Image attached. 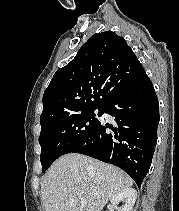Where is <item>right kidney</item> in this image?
<instances>
[{"mask_svg": "<svg viewBox=\"0 0 179 211\" xmlns=\"http://www.w3.org/2000/svg\"><path fill=\"white\" fill-rule=\"evenodd\" d=\"M137 198V192L133 188H126L122 191L116 193L111 198V203L116 209V211H132ZM123 202L122 208H118V204Z\"/></svg>", "mask_w": 179, "mask_h": 211, "instance_id": "right-kidney-1", "label": "right kidney"}]
</instances>
